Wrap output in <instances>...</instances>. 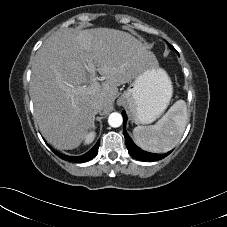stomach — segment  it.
<instances>
[{"mask_svg": "<svg viewBox=\"0 0 227 227\" xmlns=\"http://www.w3.org/2000/svg\"><path fill=\"white\" fill-rule=\"evenodd\" d=\"M173 86L167 72L151 65L140 72L120 97L136 124H150L165 111L171 100Z\"/></svg>", "mask_w": 227, "mask_h": 227, "instance_id": "obj_1", "label": "stomach"}]
</instances>
